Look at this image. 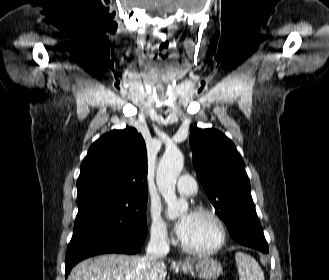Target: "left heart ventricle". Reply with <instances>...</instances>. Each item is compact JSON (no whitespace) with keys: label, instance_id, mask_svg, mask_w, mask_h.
I'll return each mask as SVG.
<instances>
[{"label":"left heart ventricle","instance_id":"left-heart-ventricle-1","mask_svg":"<svg viewBox=\"0 0 329 280\" xmlns=\"http://www.w3.org/2000/svg\"><path fill=\"white\" fill-rule=\"evenodd\" d=\"M181 239L192 248H210L217 242L218 230L208 217L191 213L186 232Z\"/></svg>","mask_w":329,"mask_h":280}]
</instances>
